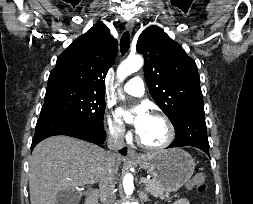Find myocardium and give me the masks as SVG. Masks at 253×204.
I'll return each instance as SVG.
<instances>
[{"label":"myocardium","instance_id":"myocardium-1","mask_svg":"<svg viewBox=\"0 0 253 204\" xmlns=\"http://www.w3.org/2000/svg\"><path fill=\"white\" fill-rule=\"evenodd\" d=\"M150 116L155 117V118H159L165 123V125L167 127V130H168V136H167L166 140L163 143L159 144V145H150V144L145 143L139 137V135L137 134L136 135V141H137L139 146H141L142 148H144L146 150L157 151V150L165 149L168 146H170L172 144V142L174 141V138H175L174 125L171 122V120L165 114H162V113H159V112H154Z\"/></svg>","mask_w":253,"mask_h":204}]
</instances>
